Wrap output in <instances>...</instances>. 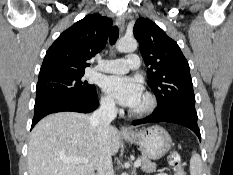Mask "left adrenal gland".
<instances>
[{
  "instance_id": "1",
  "label": "left adrenal gland",
  "mask_w": 233,
  "mask_h": 175,
  "mask_svg": "<svg viewBox=\"0 0 233 175\" xmlns=\"http://www.w3.org/2000/svg\"><path fill=\"white\" fill-rule=\"evenodd\" d=\"M133 173H134V175H137V174H136V170H135V169H133Z\"/></svg>"
}]
</instances>
